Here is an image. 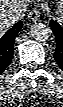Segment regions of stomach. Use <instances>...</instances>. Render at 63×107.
<instances>
[{
    "instance_id": "0dacf381",
    "label": "stomach",
    "mask_w": 63,
    "mask_h": 107,
    "mask_svg": "<svg viewBox=\"0 0 63 107\" xmlns=\"http://www.w3.org/2000/svg\"><path fill=\"white\" fill-rule=\"evenodd\" d=\"M59 16H60V20L63 19V10H62V6L61 8L59 9V12H58Z\"/></svg>"
}]
</instances>
